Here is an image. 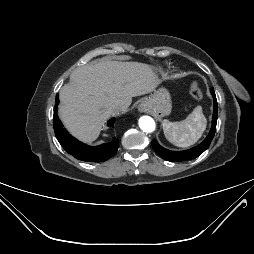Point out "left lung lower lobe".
I'll use <instances>...</instances> for the list:
<instances>
[{"mask_svg": "<svg viewBox=\"0 0 254 254\" xmlns=\"http://www.w3.org/2000/svg\"><path fill=\"white\" fill-rule=\"evenodd\" d=\"M211 93L214 99V112H213L212 127H211L209 135L201 144L185 151L167 150L163 148L162 146H160L156 140H153L152 147L154 151L164 160L171 161V162H181V161L191 160L198 157L209 147L216 131L217 115H218V111H217L218 105H217L216 95L213 88H211Z\"/></svg>", "mask_w": 254, "mask_h": 254, "instance_id": "obj_1", "label": "left lung lower lobe"}]
</instances>
